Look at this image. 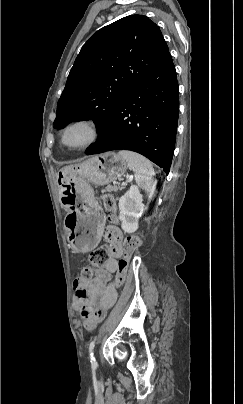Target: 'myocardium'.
Returning a JSON list of instances; mask_svg holds the SVG:
<instances>
[{
  "label": "myocardium",
  "instance_id": "myocardium-1",
  "mask_svg": "<svg viewBox=\"0 0 243 404\" xmlns=\"http://www.w3.org/2000/svg\"><path fill=\"white\" fill-rule=\"evenodd\" d=\"M78 124H83L86 125L89 130H90V138L87 142H85L82 145H78V146H71L69 144H67L66 142V134L69 131L70 128H72L75 125ZM101 135V129H100V125L98 123V121L90 116H78L75 118L70 119L69 121H67L64 126L62 127L61 131H60V143L61 145L68 149V150H73V151H83L86 150L90 147H92L100 138Z\"/></svg>",
  "mask_w": 243,
  "mask_h": 404
}]
</instances>
